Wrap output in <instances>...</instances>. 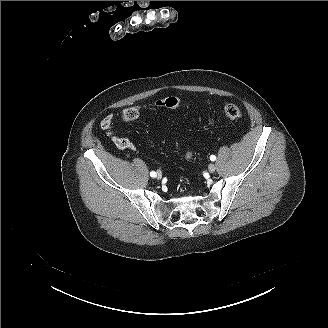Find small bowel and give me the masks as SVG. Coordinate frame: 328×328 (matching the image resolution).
<instances>
[{"label": "small bowel", "instance_id": "obj_1", "mask_svg": "<svg viewBox=\"0 0 328 328\" xmlns=\"http://www.w3.org/2000/svg\"><path fill=\"white\" fill-rule=\"evenodd\" d=\"M112 123H113V115L108 114L107 116H105L102 121H101V127L104 130H110L112 127ZM116 144L124 150H130V151H134L135 150V145L127 140V139H122V138H116L115 139Z\"/></svg>", "mask_w": 328, "mask_h": 328}]
</instances>
